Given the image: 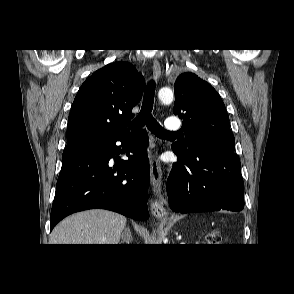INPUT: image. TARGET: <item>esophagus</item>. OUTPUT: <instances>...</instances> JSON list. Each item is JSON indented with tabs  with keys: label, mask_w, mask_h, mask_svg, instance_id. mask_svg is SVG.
Instances as JSON below:
<instances>
[{
	"label": "esophagus",
	"mask_w": 294,
	"mask_h": 294,
	"mask_svg": "<svg viewBox=\"0 0 294 294\" xmlns=\"http://www.w3.org/2000/svg\"><path fill=\"white\" fill-rule=\"evenodd\" d=\"M153 75L155 81H158L161 76V66L160 63L155 59L153 61ZM150 181L152 185V190L156 196V199L151 203V213L156 218H162L165 211L166 200L162 195V170L160 162L157 159L156 153L152 156L150 162Z\"/></svg>",
	"instance_id": "34e87169"
}]
</instances>
